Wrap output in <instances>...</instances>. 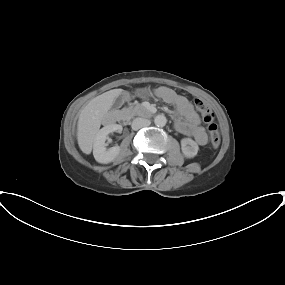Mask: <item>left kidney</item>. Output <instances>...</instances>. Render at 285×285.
<instances>
[{"instance_id": "1", "label": "left kidney", "mask_w": 285, "mask_h": 285, "mask_svg": "<svg viewBox=\"0 0 285 285\" xmlns=\"http://www.w3.org/2000/svg\"><path fill=\"white\" fill-rule=\"evenodd\" d=\"M181 149L186 158H193L197 155L199 147L191 138H183L181 140Z\"/></svg>"}]
</instances>
